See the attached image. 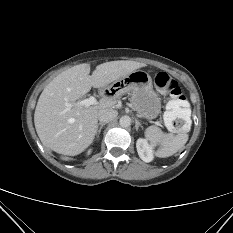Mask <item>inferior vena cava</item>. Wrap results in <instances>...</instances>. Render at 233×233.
Here are the masks:
<instances>
[{"label": "inferior vena cava", "mask_w": 233, "mask_h": 233, "mask_svg": "<svg viewBox=\"0 0 233 233\" xmlns=\"http://www.w3.org/2000/svg\"><path fill=\"white\" fill-rule=\"evenodd\" d=\"M117 116V111L113 109L101 110L98 113V120L100 123H108L114 120Z\"/></svg>", "instance_id": "inferior-vena-cava-1"}]
</instances>
